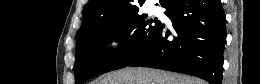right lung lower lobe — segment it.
<instances>
[{
	"label": "right lung lower lobe",
	"instance_id": "obj_1",
	"mask_svg": "<svg viewBox=\"0 0 260 84\" xmlns=\"http://www.w3.org/2000/svg\"><path fill=\"white\" fill-rule=\"evenodd\" d=\"M166 9L173 34L162 24L151 46L130 65L185 73L221 84L226 42L221 1L174 0Z\"/></svg>",
	"mask_w": 260,
	"mask_h": 84
}]
</instances>
